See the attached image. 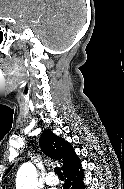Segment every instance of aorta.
<instances>
[{
	"label": "aorta",
	"instance_id": "aorta-1",
	"mask_svg": "<svg viewBox=\"0 0 124 189\" xmlns=\"http://www.w3.org/2000/svg\"><path fill=\"white\" fill-rule=\"evenodd\" d=\"M16 189H37V170L30 163H24L17 172Z\"/></svg>",
	"mask_w": 124,
	"mask_h": 189
}]
</instances>
